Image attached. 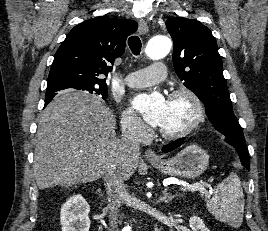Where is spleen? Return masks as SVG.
I'll use <instances>...</instances> for the list:
<instances>
[{
	"label": "spleen",
	"mask_w": 268,
	"mask_h": 231,
	"mask_svg": "<svg viewBox=\"0 0 268 231\" xmlns=\"http://www.w3.org/2000/svg\"><path fill=\"white\" fill-rule=\"evenodd\" d=\"M209 212L219 221L238 228L243 222L244 195L241 181L237 174L231 173L213 190V197L208 199Z\"/></svg>",
	"instance_id": "obj_1"
}]
</instances>
